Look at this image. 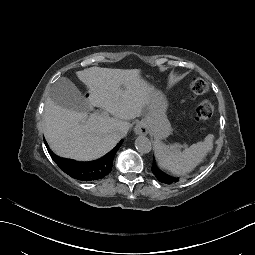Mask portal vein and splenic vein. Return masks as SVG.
I'll return each instance as SVG.
<instances>
[{"instance_id":"1","label":"portal vein and splenic vein","mask_w":255,"mask_h":255,"mask_svg":"<svg viewBox=\"0 0 255 255\" xmlns=\"http://www.w3.org/2000/svg\"><path fill=\"white\" fill-rule=\"evenodd\" d=\"M105 114H107L106 112H104ZM94 114H97V113H94ZM102 114V113H101ZM108 115V114H107ZM83 123H85V121H83Z\"/></svg>"}]
</instances>
